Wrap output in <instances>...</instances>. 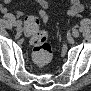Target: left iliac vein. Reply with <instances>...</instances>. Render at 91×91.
I'll return each mask as SVG.
<instances>
[{
	"label": "left iliac vein",
	"mask_w": 91,
	"mask_h": 91,
	"mask_svg": "<svg viewBox=\"0 0 91 91\" xmlns=\"http://www.w3.org/2000/svg\"><path fill=\"white\" fill-rule=\"evenodd\" d=\"M80 33L78 30H72V36L73 37H79Z\"/></svg>",
	"instance_id": "obj_1"
}]
</instances>
